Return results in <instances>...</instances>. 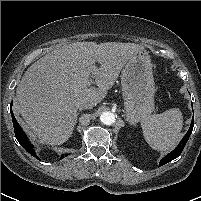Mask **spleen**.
Returning a JSON list of instances; mask_svg holds the SVG:
<instances>
[{
  "mask_svg": "<svg viewBox=\"0 0 201 201\" xmlns=\"http://www.w3.org/2000/svg\"><path fill=\"white\" fill-rule=\"evenodd\" d=\"M145 140L155 150L172 149L180 139L183 116L178 108L148 116L141 123Z\"/></svg>",
  "mask_w": 201,
  "mask_h": 201,
  "instance_id": "obj_1",
  "label": "spleen"
}]
</instances>
